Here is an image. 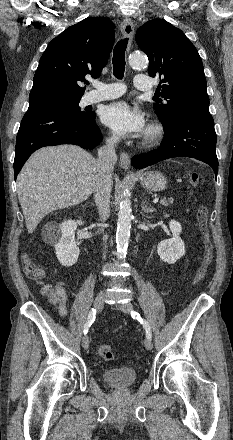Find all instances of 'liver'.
Listing matches in <instances>:
<instances>
[{"label": "liver", "mask_w": 233, "mask_h": 440, "mask_svg": "<svg viewBox=\"0 0 233 440\" xmlns=\"http://www.w3.org/2000/svg\"><path fill=\"white\" fill-rule=\"evenodd\" d=\"M97 160L76 145L44 147L17 177L18 199L28 233L50 212L82 203L91 196Z\"/></svg>", "instance_id": "1"}]
</instances>
